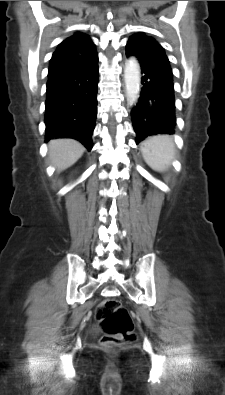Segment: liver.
<instances>
[{
    "instance_id": "liver-1",
    "label": "liver",
    "mask_w": 225,
    "mask_h": 395,
    "mask_svg": "<svg viewBox=\"0 0 225 395\" xmlns=\"http://www.w3.org/2000/svg\"><path fill=\"white\" fill-rule=\"evenodd\" d=\"M48 148L50 162L58 172L75 164L85 151L81 143L72 139L51 140Z\"/></svg>"
}]
</instances>
